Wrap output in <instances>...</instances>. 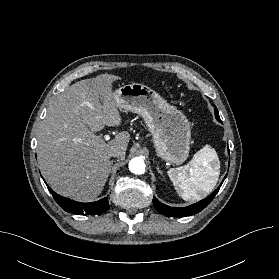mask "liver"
<instances>
[{"mask_svg": "<svg viewBox=\"0 0 279 279\" xmlns=\"http://www.w3.org/2000/svg\"><path fill=\"white\" fill-rule=\"evenodd\" d=\"M119 76L101 74L66 88L49 106L37 134L42 175L58 194L78 201L94 200L109 176V153L125 159L130 134L119 132L105 142L96 132L122 122L112 84Z\"/></svg>", "mask_w": 279, "mask_h": 279, "instance_id": "obj_1", "label": "liver"}]
</instances>
